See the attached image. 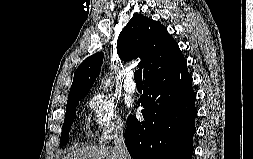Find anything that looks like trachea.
Returning <instances> with one entry per match:
<instances>
[{"label":"trachea","mask_w":253,"mask_h":159,"mask_svg":"<svg viewBox=\"0 0 253 159\" xmlns=\"http://www.w3.org/2000/svg\"><path fill=\"white\" fill-rule=\"evenodd\" d=\"M134 79H135L136 83L142 82V70L141 69H139L135 72Z\"/></svg>","instance_id":"3493384b"}]
</instances>
